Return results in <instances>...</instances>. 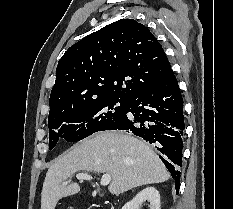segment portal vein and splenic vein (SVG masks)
<instances>
[{
	"label": "portal vein and splenic vein",
	"instance_id": "obj_1",
	"mask_svg": "<svg viewBox=\"0 0 233 209\" xmlns=\"http://www.w3.org/2000/svg\"><path fill=\"white\" fill-rule=\"evenodd\" d=\"M76 177L78 179H81V180H91L92 179V176H90L89 174H86V173H79L76 175ZM111 182V175L106 173V174H103L101 180H100V184L103 185V186H107L109 183ZM68 182H63V184H67Z\"/></svg>",
	"mask_w": 233,
	"mask_h": 209
}]
</instances>
